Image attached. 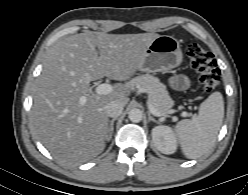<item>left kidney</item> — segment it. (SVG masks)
Returning a JSON list of instances; mask_svg holds the SVG:
<instances>
[{
  "label": "left kidney",
  "mask_w": 248,
  "mask_h": 195,
  "mask_svg": "<svg viewBox=\"0 0 248 195\" xmlns=\"http://www.w3.org/2000/svg\"><path fill=\"white\" fill-rule=\"evenodd\" d=\"M151 134L153 143L160 152L173 154L177 150V141L170 127L156 126Z\"/></svg>",
  "instance_id": "left-kidney-1"
}]
</instances>
